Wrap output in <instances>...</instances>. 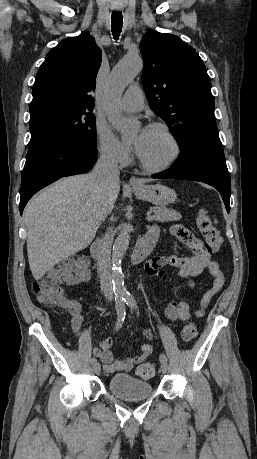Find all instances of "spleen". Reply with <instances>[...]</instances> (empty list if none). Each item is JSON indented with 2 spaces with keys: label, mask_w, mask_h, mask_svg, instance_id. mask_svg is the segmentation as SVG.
<instances>
[{
  "label": "spleen",
  "mask_w": 257,
  "mask_h": 459,
  "mask_svg": "<svg viewBox=\"0 0 257 459\" xmlns=\"http://www.w3.org/2000/svg\"><path fill=\"white\" fill-rule=\"evenodd\" d=\"M214 222H215V223H217V220L215 219V221H214Z\"/></svg>",
  "instance_id": "spleen-1"
}]
</instances>
